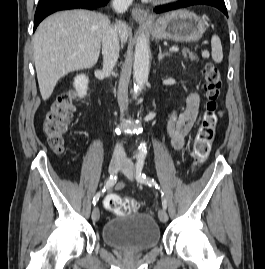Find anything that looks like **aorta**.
I'll return each mask as SVG.
<instances>
[{
	"label": "aorta",
	"instance_id": "762f6f07",
	"mask_svg": "<svg viewBox=\"0 0 265 269\" xmlns=\"http://www.w3.org/2000/svg\"><path fill=\"white\" fill-rule=\"evenodd\" d=\"M134 88L136 92H140L148 81L149 76V44L144 35L137 40L134 53ZM147 152L145 143H141L138 147V157L144 158Z\"/></svg>",
	"mask_w": 265,
	"mask_h": 269
}]
</instances>
